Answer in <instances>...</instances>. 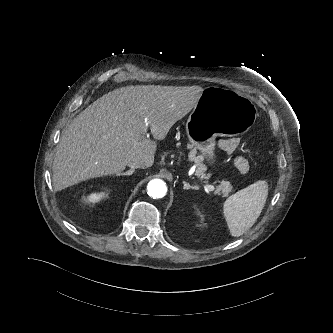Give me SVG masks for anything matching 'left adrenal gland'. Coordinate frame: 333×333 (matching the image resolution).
<instances>
[{"label": "left adrenal gland", "mask_w": 333, "mask_h": 333, "mask_svg": "<svg viewBox=\"0 0 333 333\" xmlns=\"http://www.w3.org/2000/svg\"><path fill=\"white\" fill-rule=\"evenodd\" d=\"M183 189L184 190H189V189H195L197 190L198 188L196 186H191L189 183L186 181H183Z\"/></svg>", "instance_id": "obj_1"}]
</instances>
